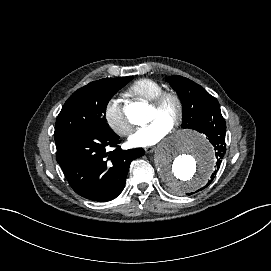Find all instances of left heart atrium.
<instances>
[{
  "mask_svg": "<svg viewBox=\"0 0 271 271\" xmlns=\"http://www.w3.org/2000/svg\"><path fill=\"white\" fill-rule=\"evenodd\" d=\"M171 132V125L160 120H154L146 126L134 129L129 137V143L134 147H150L153 146Z\"/></svg>",
  "mask_w": 271,
  "mask_h": 271,
  "instance_id": "obj_1",
  "label": "left heart atrium"
}]
</instances>
